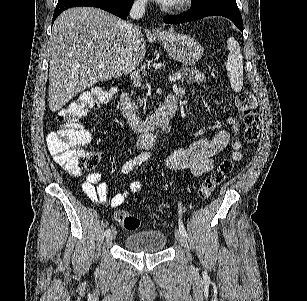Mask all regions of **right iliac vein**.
<instances>
[{
  "mask_svg": "<svg viewBox=\"0 0 307 301\" xmlns=\"http://www.w3.org/2000/svg\"><path fill=\"white\" fill-rule=\"evenodd\" d=\"M116 235H117L116 229H112L110 234L107 235V239H106L107 242L113 241L115 239Z\"/></svg>",
  "mask_w": 307,
  "mask_h": 301,
  "instance_id": "63e3f726",
  "label": "right iliac vein"
}]
</instances>
